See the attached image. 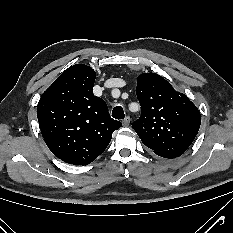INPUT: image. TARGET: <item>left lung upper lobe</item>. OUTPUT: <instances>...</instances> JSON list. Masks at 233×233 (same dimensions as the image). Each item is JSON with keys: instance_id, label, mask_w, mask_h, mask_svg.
Returning a JSON list of instances; mask_svg holds the SVG:
<instances>
[{"instance_id": "5c2ea615", "label": "left lung upper lobe", "mask_w": 233, "mask_h": 233, "mask_svg": "<svg viewBox=\"0 0 233 233\" xmlns=\"http://www.w3.org/2000/svg\"><path fill=\"white\" fill-rule=\"evenodd\" d=\"M140 119L132 123L143 144L157 155L179 157L193 142L201 115L189 98L155 73L138 76Z\"/></svg>"}]
</instances>
